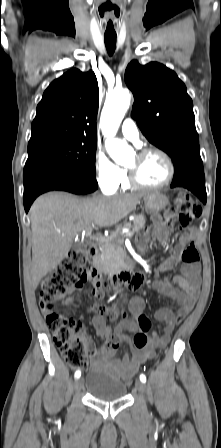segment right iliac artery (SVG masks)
I'll return each mask as SVG.
<instances>
[{"mask_svg":"<svg viewBox=\"0 0 221 448\" xmlns=\"http://www.w3.org/2000/svg\"><path fill=\"white\" fill-rule=\"evenodd\" d=\"M75 378H79L81 376V372L78 370L74 374Z\"/></svg>","mask_w":221,"mask_h":448,"instance_id":"1","label":"right iliac artery"}]
</instances>
